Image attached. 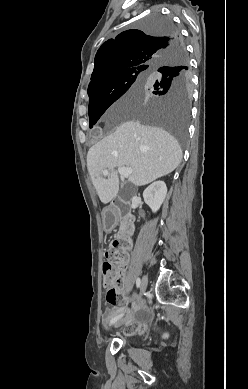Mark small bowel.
<instances>
[{
  "mask_svg": "<svg viewBox=\"0 0 248 389\" xmlns=\"http://www.w3.org/2000/svg\"><path fill=\"white\" fill-rule=\"evenodd\" d=\"M120 268H121V271H122V273H123V272H124V271H123V265H121ZM125 303H126V300H124V301L122 302L121 305H124ZM109 304H110V303H109ZM118 308H119L118 306L113 305L112 307H109V308H107V309L105 310V312L103 313V316H102V320H103V322H104L105 324H107L108 322H111L112 319H113L114 317L117 316L116 313H117V311H118ZM148 316H149V313H148V311H147L146 309H144V308H139V309L136 311V313H135L136 319H138V320H140V321H141V320L147 319Z\"/></svg>",
  "mask_w": 248,
  "mask_h": 389,
  "instance_id": "c3829d8e",
  "label": "small bowel"
}]
</instances>
